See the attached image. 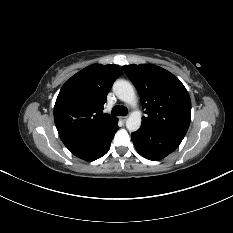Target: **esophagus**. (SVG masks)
<instances>
[{"instance_id": "esophagus-1", "label": "esophagus", "mask_w": 233, "mask_h": 233, "mask_svg": "<svg viewBox=\"0 0 233 233\" xmlns=\"http://www.w3.org/2000/svg\"><path fill=\"white\" fill-rule=\"evenodd\" d=\"M120 119L124 122L127 120V116H122V117H120Z\"/></svg>"}]
</instances>
